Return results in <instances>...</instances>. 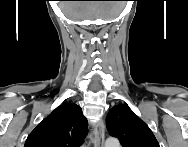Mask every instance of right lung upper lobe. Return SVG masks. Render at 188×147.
I'll return each instance as SVG.
<instances>
[{
  "label": "right lung upper lobe",
  "mask_w": 188,
  "mask_h": 147,
  "mask_svg": "<svg viewBox=\"0 0 188 147\" xmlns=\"http://www.w3.org/2000/svg\"><path fill=\"white\" fill-rule=\"evenodd\" d=\"M87 120L74 103H64L27 137L24 147H79L87 135Z\"/></svg>",
  "instance_id": "right-lung-upper-lobe-1"
}]
</instances>
